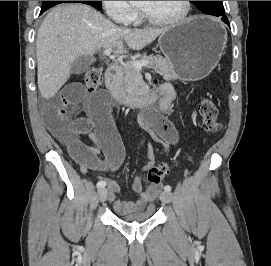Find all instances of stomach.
Segmentation results:
<instances>
[{"label": "stomach", "mask_w": 271, "mask_h": 266, "mask_svg": "<svg viewBox=\"0 0 271 266\" xmlns=\"http://www.w3.org/2000/svg\"><path fill=\"white\" fill-rule=\"evenodd\" d=\"M159 47L173 65V78L197 81L218 64L227 43V32L216 20L195 16L168 27L159 35Z\"/></svg>", "instance_id": "obj_1"}]
</instances>
